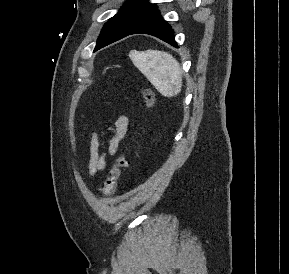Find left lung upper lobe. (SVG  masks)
<instances>
[{
  "mask_svg": "<svg viewBox=\"0 0 289 274\" xmlns=\"http://www.w3.org/2000/svg\"><path fill=\"white\" fill-rule=\"evenodd\" d=\"M157 7L145 0H129L104 25L95 49L108 45L133 31L142 22L149 18Z\"/></svg>",
  "mask_w": 289,
  "mask_h": 274,
  "instance_id": "5c2ea615",
  "label": "left lung upper lobe"
}]
</instances>
